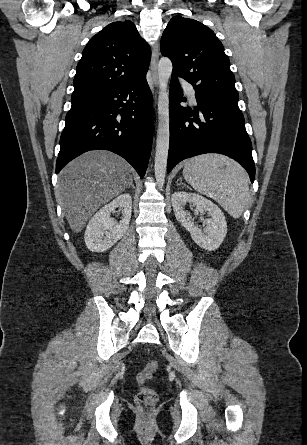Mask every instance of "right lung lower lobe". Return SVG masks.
<instances>
[{
  "instance_id": "obj_1",
  "label": "right lung lower lobe",
  "mask_w": 307,
  "mask_h": 445,
  "mask_svg": "<svg viewBox=\"0 0 307 445\" xmlns=\"http://www.w3.org/2000/svg\"><path fill=\"white\" fill-rule=\"evenodd\" d=\"M56 162L58 173L80 154L110 150L144 176L152 144L153 99L146 76L71 98Z\"/></svg>"
}]
</instances>
